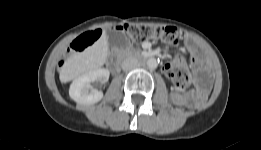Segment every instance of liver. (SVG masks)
<instances>
[{"instance_id": "obj_1", "label": "liver", "mask_w": 261, "mask_h": 150, "mask_svg": "<svg viewBox=\"0 0 261 150\" xmlns=\"http://www.w3.org/2000/svg\"><path fill=\"white\" fill-rule=\"evenodd\" d=\"M108 54V41L103 34L96 43L84 52L70 56L60 72V79H65L70 71L75 70L80 74L99 69L104 65Z\"/></svg>"}]
</instances>
